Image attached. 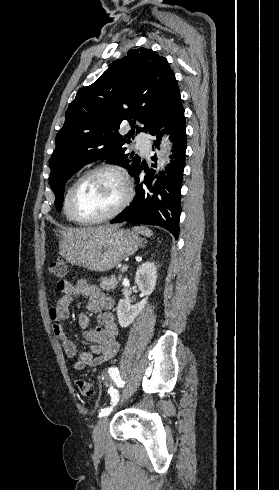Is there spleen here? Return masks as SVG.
<instances>
[{
	"instance_id": "3e777b00",
	"label": "spleen",
	"mask_w": 279,
	"mask_h": 490,
	"mask_svg": "<svg viewBox=\"0 0 279 490\" xmlns=\"http://www.w3.org/2000/svg\"><path fill=\"white\" fill-rule=\"evenodd\" d=\"M133 230H135V232H138V234H143V236H147V238H149V236H152L151 230H149V228H145V226H135Z\"/></svg>"
}]
</instances>
